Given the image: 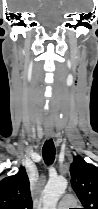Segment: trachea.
I'll return each instance as SVG.
<instances>
[{
    "label": "trachea",
    "instance_id": "1",
    "mask_svg": "<svg viewBox=\"0 0 98 209\" xmlns=\"http://www.w3.org/2000/svg\"><path fill=\"white\" fill-rule=\"evenodd\" d=\"M42 155L45 163L50 165L55 159V146L52 139L47 140L42 149Z\"/></svg>",
    "mask_w": 98,
    "mask_h": 209
}]
</instances>
